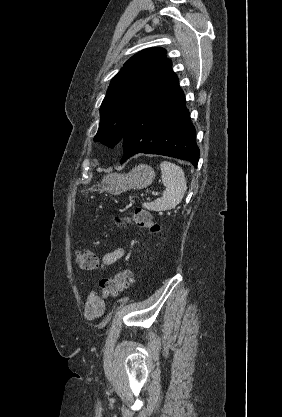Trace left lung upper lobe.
Listing matches in <instances>:
<instances>
[{
    "instance_id": "5c2ea615",
    "label": "left lung upper lobe",
    "mask_w": 282,
    "mask_h": 417,
    "mask_svg": "<svg viewBox=\"0 0 282 417\" xmlns=\"http://www.w3.org/2000/svg\"><path fill=\"white\" fill-rule=\"evenodd\" d=\"M171 67L163 48H148L131 57L111 80L100 107V125L94 140L109 147L122 140L131 114L156 89Z\"/></svg>"
}]
</instances>
